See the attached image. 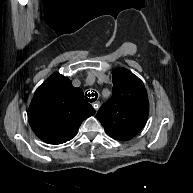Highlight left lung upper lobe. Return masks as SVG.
Segmentation results:
<instances>
[{"instance_id":"left-lung-upper-lobe-1","label":"left lung upper lobe","mask_w":193,"mask_h":193,"mask_svg":"<svg viewBox=\"0 0 193 193\" xmlns=\"http://www.w3.org/2000/svg\"><path fill=\"white\" fill-rule=\"evenodd\" d=\"M112 97L102 105L97 118L114 139L127 141L146 124L149 102L143 82L125 68L112 72Z\"/></svg>"}]
</instances>
